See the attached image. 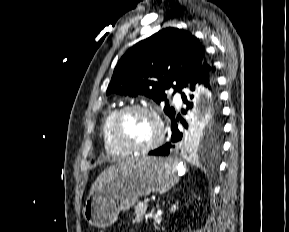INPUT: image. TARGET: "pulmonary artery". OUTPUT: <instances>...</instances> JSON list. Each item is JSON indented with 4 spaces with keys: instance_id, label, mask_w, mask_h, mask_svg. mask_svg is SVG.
<instances>
[{
    "instance_id": "obj_1",
    "label": "pulmonary artery",
    "mask_w": 289,
    "mask_h": 232,
    "mask_svg": "<svg viewBox=\"0 0 289 232\" xmlns=\"http://www.w3.org/2000/svg\"><path fill=\"white\" fill-rule=\"evenodd\" d=\"M174 100L176 102L177 105H181V97L178 93L175 94Z\"/></svg>"
}]
</instances>
